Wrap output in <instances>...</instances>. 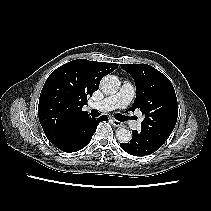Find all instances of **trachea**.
<instances>
[{
  "label": "trachea",
  "mask_w": 211,
  "mask_h": 211,
  "mask_svg": "<svg viewBox=\"0 0 211 211\" xmlns=\"http://www.w3.org/2000/svg\"><path fill=\"white\" fill-rule=\"evenodd\" d=\"M100 114H99V112L98 111H96V110H91V116H93V117H98ZM115 118L118 120V121H121V122H123V121H126L127 119H128V117H126V116H124V115H121V114H116L115 115Z\"/></svg>",
  "instance_id": "1"
}]
</instances>
